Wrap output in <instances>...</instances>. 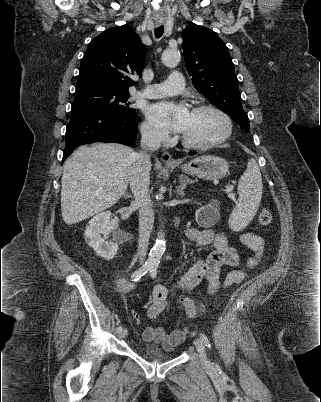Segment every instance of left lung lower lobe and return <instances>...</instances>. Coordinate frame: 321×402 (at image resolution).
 <instances>
[{
    "instance_id": "obj_1",
    "label": "left lung lower lobe",
    "mask_w": 321,
    "mask_h": 402,
    "mask_svg": "<svg viewBox=\"0 0 321 402\" xmlns=\"http://www.w3.org/2000/svg\"><path fill=\"white\" fill-rule=\"evenodd\" d=\"M194 153H196V152H190V155H192V154H194Z\"/></svg>"
}]
</instances>
